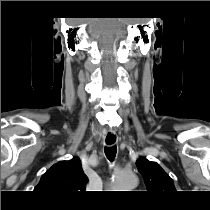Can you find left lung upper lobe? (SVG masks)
I'll list each match as a JSON object with an SVG mask.
<instances>
[{"instance_id": "left-lung-upper-lobe-1", "label": "left lung upper lobe", "mask_w": 210, "mask_h": 210, "mask_svg": "<svg viewBox=\"0 0 210 210\" xmlns=\"http://www.w3.org/2000/svg\"><path fill=\"white\" fill-rule=\"evenodd\" d=\"M136 166L149 192L163 194L175 191L173 180L158 163L141 158L136 162Z\"/></svg>"}]
</instances>
